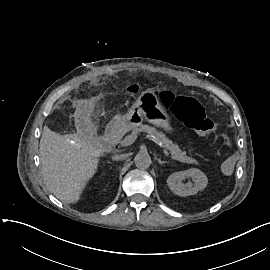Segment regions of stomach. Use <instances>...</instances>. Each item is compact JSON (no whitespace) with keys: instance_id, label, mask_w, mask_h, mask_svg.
Masks as SVG:
<instances>
[{"instance_id":"1","label":"stomach","mask_w":270,"mask_h":270,"mask_svg":"<svg viewBox=\"0 0 270 270\" xmlns=\"http://www.w3.org/2000/svg\"><path fill=\"white\" fill-rule=\"evenodd\" d=\"M143 120L168 134H174L172 118L164 104L153 89H145L121 117V128L132 130L142 124Z\"/></svg>"}]
</instances>
